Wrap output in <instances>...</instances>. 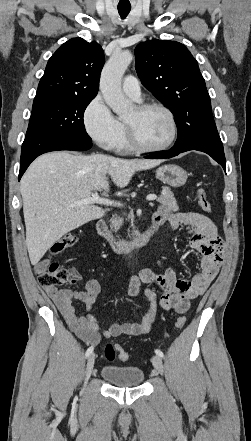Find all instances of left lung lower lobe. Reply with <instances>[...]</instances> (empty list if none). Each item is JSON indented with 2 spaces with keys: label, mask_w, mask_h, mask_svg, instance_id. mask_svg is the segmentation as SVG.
<instances>
[{
  "label": "left lung lower lobe",
  "mask_w": 251,
  "mask_h": 441,
  "mask_svg": "<svg viewBox=\"0 0 251 441\" xmlns=\"http://www.w3.org/2000/svg\"><path fill=\"white\" fill-rule=\"evenodd\" d=\"M190 150L207 153L226 170L224 149L214 119L206 115L178 128V139L170 150L145 158L166 159Z\"/></svg>",
  "instance_id": "obj_1"
}]
</instances>
